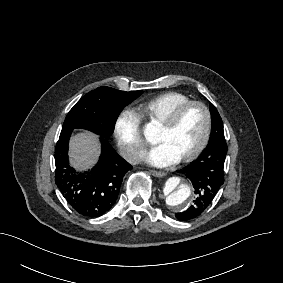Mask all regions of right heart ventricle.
Wrapping results in <instances>:
<instances>
[{"instance_id": "1", "label": "right heart ventricle", "mask_w": 283, "mask_h": 283, "mask_svg": "<svg viewBox=\"0 0 283 283\" xmlns=\"http://www.w3.org/2000/svg\"><path fill=\"white\" fill-rule=\"evenodd\" d=\"M189 101L188 95L171 91L136 103L134 112L140 120L159 124L172 109Z\"/></svg>"}]
</instances>
